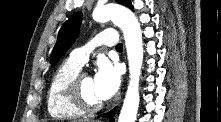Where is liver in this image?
<instances>
[{
    "instance_id": "liver-1",
    "label": "liver",
    "mask_w": 221,
    "mask_h": 122,
    "mask_svg": "<svg viewBox=\"0 0 221 122\" xmlns=\"http://www.w3.org/2000/svg\"><path fill=\"white\" fill-rule=\"evenodd\" d=\"M78 122H90L89 119H80Z\"/></svg>"
}]
</instances>
